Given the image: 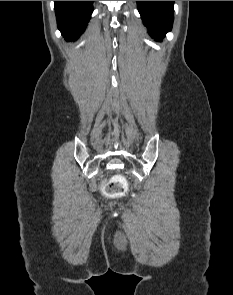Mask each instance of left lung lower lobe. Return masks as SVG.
I'll use <instances>...</instances> for the list:
<instances>
[{
	"label": "left lung lower lobe",
	"mask_w": 233,
	"mask_h": 295,
	"mask_svg": "<svg viewBox=\"0 0 233 295\" xmlns=\"http://www.w3.org/2000/svg\"><path fill=\"white\" fill-rule=\"evenodd\" d=\"M174 1H137L141 18L150 35L162 41L173 24Z\"/></svg>",
	"instance_id": "left-lung-lower-lobe-1"
}]
</instances>
